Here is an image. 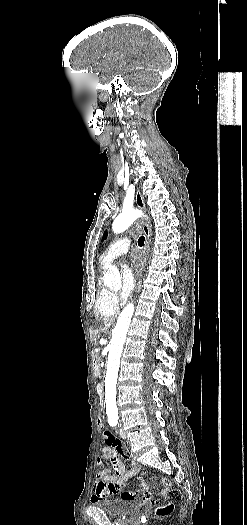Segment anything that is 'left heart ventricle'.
Instances as JSON below:
<instances>
[{
	"label": "left heart ventricle",
	"mask_w": 247,
	"mask_h": 525,
	"mask_svg": "<svg viewBox=\"0 0 247 525\" xmlns=\"http://www.w3.org/2000/svg\"><path fill=\"white\" fill-rule=\"evenodd\" d=\"M119 266H120L121 271L127 269V267H128V260H127V256H126V255H124V256L121 258V260H120V262H119ZM142 324H146V323H142Z\"/></svg>",
	"instance_id": "obj_1"
}]
</instances>
